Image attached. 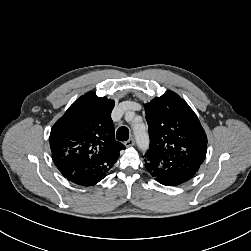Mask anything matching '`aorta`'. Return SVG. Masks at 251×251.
<instances>
[{"instance_id": "1", "label": "aorta", "mask_w": 251, "mask_h": 251, "mask_svg": "<svg viewBox=\"0 0 251 251\" xmlns=\"http://www.w3.org/2000/svg\"><path fill=\"white\" fill-rule=\"evenodd\" d=\"M134 135H135L138 147L141 150H146L148 148V145H149L148 134L145 131L138 130L135 127L134 128Z\"/></svg>"}]
</instances>
